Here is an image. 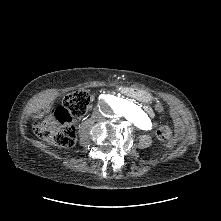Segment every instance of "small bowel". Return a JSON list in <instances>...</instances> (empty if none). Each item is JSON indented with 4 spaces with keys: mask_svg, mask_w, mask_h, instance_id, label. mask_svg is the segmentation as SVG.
Listing matches in <instances>:
<instances>
[{
    "mask_svg": "<svg viewBox=\"0 0 221 221\" xmlns=\"http://www.w3.org/2000/svg\"><path fill=\"white\" fill-rule=\"evenodd\" d=\"M146 113L151 116V111L150 109L147 108L146 110ZM176 126H177V129L180 130L182 128V122L180 121V119H176Z\"/></svg>",
    "mask_w": 221,
    "mask_h": 221,
    "instance_id": "obj_1",
    "label": "small bowel"
}]
</instances>
